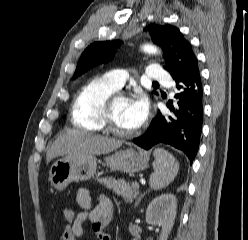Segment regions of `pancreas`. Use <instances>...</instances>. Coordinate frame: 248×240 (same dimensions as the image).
<instances>
[{
	"mask_svg": "<svg viewBox=\"0 0 248 240\" xmlns=\"http://www.w3.org/2000/svg\"><path fill=\"white\" fill-rule=\"evenodd\" d=\"M98 182L103 184L106 188L112 189L117 195L122 196L127 202H132L133 199L138 195V189L129 185L128 183L115 180L112 177L100 178Z\"/></svg>",
	"mask_w": 248,
	"mask_h": 240,
	"instance_id": "obj_1",
	"label": "pancreas"
}]
</instances>
